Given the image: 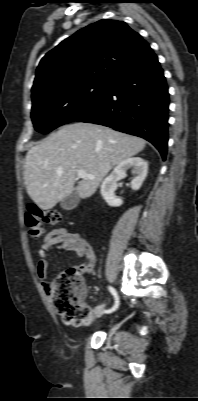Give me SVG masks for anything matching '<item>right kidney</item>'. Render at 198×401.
<instances>
[{"mask_svg":"<svg viewBox=\"0 0 198 401\" xmlns=\"http://www.w3.org/2000/svg\"><path fill=\"white\" fill-rule=\"evenodd\" d=\"M132 169L135 175L131 181V188L133 191L138 190L147 176L148 164L140 157L128 158L119 163L109 176H107L101 185V195L109 206L118 207L123 204V200L117 198L114 194L117 188V181L126 176V171Z\"/></svg>","mask_w":198,"mask_h":401,"instance_id":"ca27d5eb","label":"right kidney"}]
</instances>
